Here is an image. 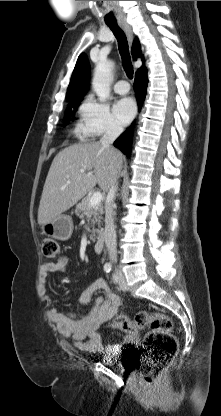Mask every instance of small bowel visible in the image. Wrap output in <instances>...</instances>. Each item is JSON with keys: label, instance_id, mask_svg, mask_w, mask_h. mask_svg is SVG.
Wrapping results in <instances>:
<instances>
[{"label": "small bowel", "instance_id": "obj_1", "mask_svg": "<svg viewBox=\"0 0 221 416\" xmlns=\"http://www.w3.org/2000/svg\"><path fill=\"white\" fill-rule=\"evenodd\" d=\"M70 262L67 255H60L56 262H43L40 266L39 278L46 280L49 274L65 272ZM98 292H102L103 295L96 296ZM90 303L89 310L84 314L51 308L49 319L63 337L73 339L77 349L89 353L111 354L118 348V345L105 347L98 329L118 313L121 307V298L110 290L104 279L97 278L83 290L79 297L81 306ZM123 342L129 343L131 338L124 337Z\"/></svg>", "mask_w": 221, "mask_h": 416}]
</instances>
